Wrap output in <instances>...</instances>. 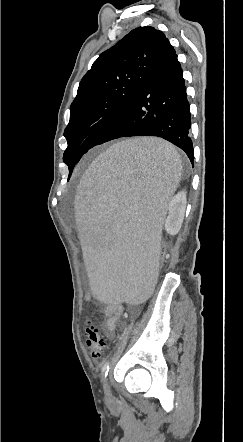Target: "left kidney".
I'll list each match as a JSON object with an SVG mask.
<instances>
[{
  "label": "left kidney",
  "mask_w": 243,
  "mask_h": 442,
  "mask_svg": "<svg viewBox=\"0 0 243 442\" xmlns=\"http://www.w3.org/2000/svg\"><path fill=\"white\" fill-rule=\"evenodd\" d=\"M170 212L165 219V230L169 235H176L183 223L186 209V193H177L169 202Z\"/></svg>",
  "instance_id": "1"
}]
</instances>
